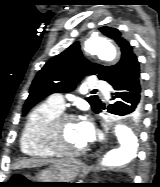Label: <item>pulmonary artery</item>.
Listing matches in <instances>:
<instances>
[{
    "mask_svg": "<svg viewBox=\"0 0 160 187\" xmlns=\"http://www.w3.org/2000/svg\"><path fill=\"white\" fill-rule=\"evenodd\" d=\"M88 87L95 88V89L103 91V92L108 91V85L104 82H101V81H92L91 80L88 82ZM106 97H108L107 94H106ZM49 102H51L53 105H55L56 107H58L61 110L64 109L65 101H64L63 96L60 93H55V94L51 95L49 98Z\"/></svg>",
    "mask_w": 160,
    "mask_h": 187,
    "instance_id": "pulmonary-artery-1",
    "label": "pulmonary artery"
}]
</instances>
